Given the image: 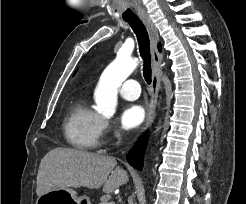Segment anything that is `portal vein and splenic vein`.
<instances>
[{
    "label": "portal vein and splenic vein",
    "mask_w": 246,
    "mask_h": 204,
    "mask_svg": "<svg viewBox=\"0 0 246 204\" xmlns=\"http://www.w3.org/2000/svg\"><path fill=\"white\" fill-rule=\"evenodd\" d=\"M109 204H115V202L114 201H111V202H109Z\"/></svg>",
    "instance_id": "1"
}]
</instances>
